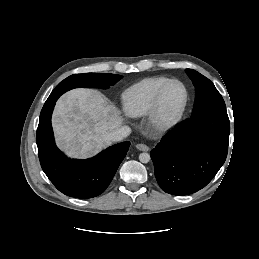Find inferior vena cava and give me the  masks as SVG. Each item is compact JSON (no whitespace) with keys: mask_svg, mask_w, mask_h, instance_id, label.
<instances>
[{"mask_svg":"<svg viewBox=\"0 0 259 259\" xmlns=\"http://www.w3.org/2000/svg\"><path fill=\"white\" fill-rule=\"evenodd\" d=\"M131 133V130L128 126L120 127L105 136V140L109 142H120L124 138L128 137Z\"/></svg>","mask_w":259,"mask_h":259,"instance_id":"obj_1","label":"inferior vena cava"}]
</instances>
